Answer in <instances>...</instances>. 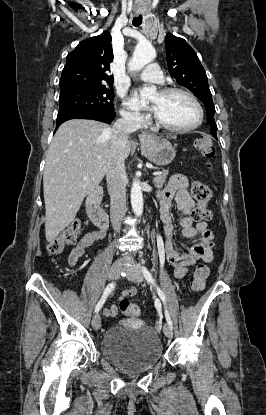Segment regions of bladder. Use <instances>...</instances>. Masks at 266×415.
Masks as SVG:
<instances>
[{
    "label": "bladder",
    "mask_w": 266,
    "mask_h": 415,
    "mask_svg": "<svg viewBox=\"0 0 266 415\" xmlns=\"http://www.w3.org/2000/svg\"><path fill=\"white\" fill-rule=\"evenodd\" d=\"M100 350L118 369L136 374L153 368L163 356V345L150 327L114 326L104 334Z\"/></svg>",
    "instance_id": "obj_1"
}]
</instances>
